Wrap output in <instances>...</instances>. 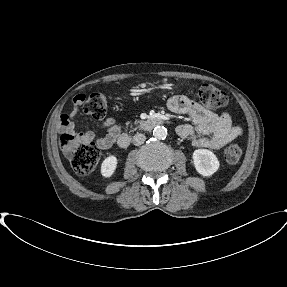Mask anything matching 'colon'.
<instances>
[{
	"label": "colon",
	"instance_id": "1",
	"mask_svg": "<svg viewBox=\"0 0 287 287\" xmlns=\"http://www.w3.org/2000/svg\"><path fill=\"white\" fill-rule=\"evenodd\" d=\"M197 97L204 106L214 109L223 108L228 103L227 94L210 84L201 85L197 89ZM77 99L78 106L90 116L96 119L105 116L108 107V98L105 94L96 92L88 97L78 96ZM60 145L77 174L88 175L95 169L100 159V150L82 134L67 131L61 135ZM241 155L242 149L238 143H231L224 150L225 160L229 164H236Z\"/></svg>",
	"mask_w": 287,
	"mask_h": 287
}]
</instances>
